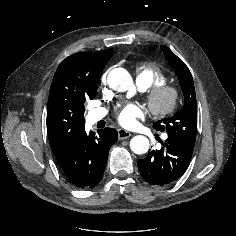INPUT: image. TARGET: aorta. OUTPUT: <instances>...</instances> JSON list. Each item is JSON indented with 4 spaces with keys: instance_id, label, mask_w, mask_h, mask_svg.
I'll list each match as a JSON object with an SVG mask.
<instances>
[{
    "instance_id": "obj_1",
    "label": "aorta",
    "mask_w": 236,
    "mask_h": 236,
    "mask_svg": "<svg viewBox=\"0 0 236 236\" xmlns=\"http://www.w3.org/2000/svg\"><path fill=\"white\" fill-rule=\"evenodd\" d=\"M109 86L119 92H128V95H133L135 87L129 72L123 68L112 70L108 75ZM149 140L143 135L134 136L130 140V148L132 152L138 155L145 154L149 150Z\"/></svg>"
}]
</instances>
